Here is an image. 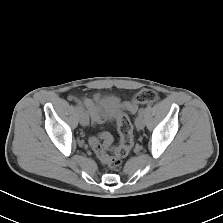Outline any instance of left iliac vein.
<instances>
[{"instance_id":"4c4485c4","label":"left iliac vein","mask_w":223,"mask_h":223,"mask_svg":"<svg viewBox=\"0 0 223 223\" xmlns=\"http://www.w3.org/2000/svg\"><path fill=\"white\" fill-rule=\"evenodd\" d=\"M135 126L138 130H142L144 128V120L142 116H137L135 119Z\"/></svg>"}]
</instances>
